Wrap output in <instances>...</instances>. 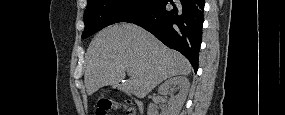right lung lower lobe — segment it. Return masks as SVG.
Segmentation results:
<instances>
[{
    "label": "right lung lower lobe",
    "mask_w": 285,
    "mask_h": 115,
    "mask_svg": "<svg viewBox=\"0 0 285 115\" xmlns=\"http://www.w3.org/2000/svg\"><path fill=\"white\" fill-rule=\"evenodd\" d=\"M204 0H156L123 22L151 32L166 46L182 53L198 69L202 42Z\"/></svg>",
    "instance_id": "right-lung-lower-lobe-1"
}]
</instances>
